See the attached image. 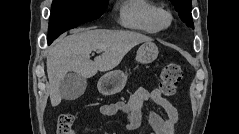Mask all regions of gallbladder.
I'll use <instances>...</instances> for the list:
<instances>
[{"label": "gallbladder", "mask_w": 239, "mask_h": 134, "mask_svg": "<svg viewBox=\"0 0 239 134\" xmlns=\"http://www.w3.org/2000/svg\"><path fill=\"white\" fill-rule=\"evenodd\" d=\"M86 86V78L73 72L67 74L60 82L59 91L63 99L75 100L84 93Z\"/></svg>", "instance_id": "1"}]
</instances>
